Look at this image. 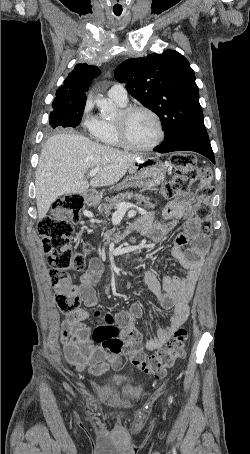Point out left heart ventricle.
<instances>
[{"instance_id": "b2bd125f", "label": "left heart ventricle", "mask_w": 250, "mask_h": 454, "mask_svg": "<svg viewBox=\"0 0 250 454\" xmlns=\"http://www.w3.org/2000/svg\"><path fill=\"white\" fill-rule=\"evenodd\" d=\"M127 133L130 141L141 147L152 143L158 135L154 119L145 112H136L128 118Z\"/></svg>"}]
</instances>
